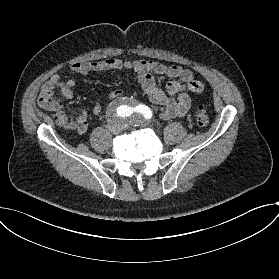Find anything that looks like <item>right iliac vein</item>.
<instances>
[{"mask_svg":"<svg viewBox=\"0 0 279 279\" xmlns=\"http://www.w3.org/2000/svg\"><path fill=\"white\" fill-rule=\"evenodd\" d=\"M109 129H110L111 131H113V132H115V131H116V129H112V128H110V127H109Z\"/></svg>","mask_w":279,"mask_h":279,"instance_id":"obj_1","label":"right iliac vein"}]
</instances>
